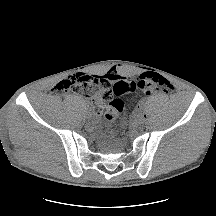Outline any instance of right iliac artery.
Returning <instances> with one entry per match:
<instances>
[{"label": "right iliac artery", "mask_w": 216, "mask_h": 216, "mask_svg": "<svg viewBox=\"0 0 216 216\" xmlns=\"http://www.w3.org/2000/svg\"><path fill=\"white\" fill-rule=\"evenodd\" d=\"M84 112H85L86 114H89V113H90V110H89L88 108H85V109H84Z\"/></svg>", "instance_id": "right-iliac-artery-1"}]
</instances>
